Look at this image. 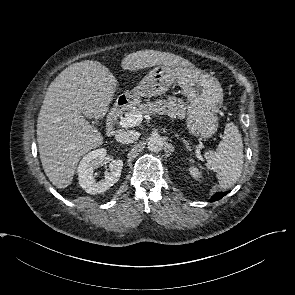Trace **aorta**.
<instances>
[{"label":"aorta","mask_w":295,"mask_h":295,"mask_svg":"<svg viewBox=\"0 0 295 295\" xmlns=\"http://www.w3.org/2000/svg\"><path fill=\"white\" fill-rule=\"evenodd\" d=\"M163 140L158 134L151 135L147 141V147L152 152H158L163 148Z\"/></svg>","instance_id":"obj_1"}]
</instances>
